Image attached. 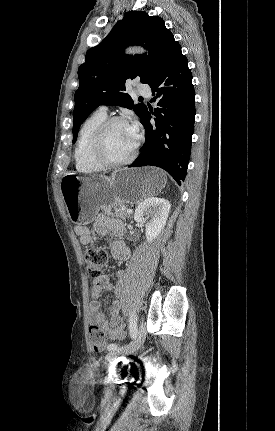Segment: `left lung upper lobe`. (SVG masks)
<instances>
[{"label": "left lung upper lobe", "instance_id": "5c2ea615", "mask_svg": "<svg viewBox=\"0 0 275 431\" xmlns=\"http://www.w3.org/2000/svg\"><path fill=\"white\" fill-rule=\"evenodd\" d=\"M130 45H141L149 54L125 55L123 48ZM177 45L162 18L143 11L127 12L99 45L88 50L85 63L78 69L80 85L74 96L73 143L83 121L99 105L133 109L143 120L147 107L134 104L125 92V81L140 77L142 83L150 84Z\"/></svg>", "mask_w": 275, "mask_h": 431}]
</instances>
